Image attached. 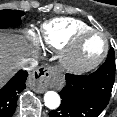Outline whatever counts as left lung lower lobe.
<instances>
[{"mask_svg":"<svg viewBox=\"0 0 117 117\" xmlns=\"http://www.w3.org/2000/svg\"><path fill=\"white\" fill-rule=\"evenodd\" d=\"M114 79L102 66L90 75L66 74L61 105L49 117H97L109 103Z\"/></svg>","mask_w":117,"mask_h":117,"instance_id":"0a47b994","label":"left lung lower lobe"}]
</instances>
